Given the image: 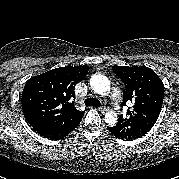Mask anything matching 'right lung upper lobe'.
Listing matches in <instances>:
<instances>
[{
	"instance_id": "cb5924a9",
	"label": "right lung upper lobe",
	"mask_w": 179,
	"mask_h": 179,
	"mask_svg": "<svg viewBox=\"0 0 179 179\" xmlns=\"http://www.w3.org/2000/svg\"><path fill=\"white\" fill-rule=\"evenodd\" d=\"M89 67L65 66L31 77L22 92V109L28 123L40 135L57 140L74 130L85 111L74 106V87Z\"/></svg>"
}]
</instances>
